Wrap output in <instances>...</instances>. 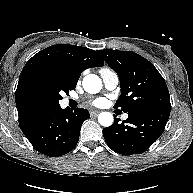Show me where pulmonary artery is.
I'll list each match as a JSON object with an SVG mask.
<instances>
[{
	"label": "pulmonary artery",
	"instance_id": "obj_1",
	"mask_svg": "<svg viewBox=\"0 0 193 193\" xmlns=\"http://www.w3.org/2000/svg\"><path fill=\"white\" fill-rule=\"evenodd\" d=\"M100 76L107 90H110V91L114 90L118 86L119 78L114 71L110 69H102L100 71ZM65 102L67 103L68 100H65ZM127 118H128V115L124 114L123 119H127Z\"/></svg>",
	"mask_w": 193,
	"mask_h": 193
}]
</instances>
